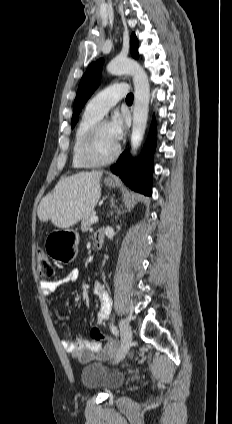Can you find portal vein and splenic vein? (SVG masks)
Returning <instances> with one entry per match:
<instances>
[{
  "label": "portal vein and splenic vein",
  "instance_id": "obj_1",
  "mask_svg": "<svg viewBox=\"0 0 232 424\" xmlns=\"http://www.w3.org/2000/svg\"><path fill=\"white\" fill-rule=\"evenodd\" d=\"M91 222H92V223H96V222H98V217H97V216H94V217L91 219Z\"/></svg>",
  "mask_w": 232,
  "mask_h": 424
}]
</instances>
